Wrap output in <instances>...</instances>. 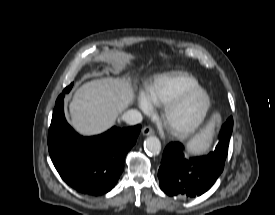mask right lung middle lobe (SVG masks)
<instances>
[{"label": "right lung middle lobe", "mask_w": 275, "mask_h": 215, "mask_svg": "<svg viewBox=\"0 0 275 215\" xmlns=\"http://www.w3.org/2000/svg\"><path fill=\"white\" fill-rule=\"evenodd\" d=\"M72 86H73V83H71L68 87H66V88L63 90V92H62L61 95L64 96L65 93H68V92L71 90Z\"/></svg>", "instance_id": "right-lung-middle-lobe-1"}]
</instances>
